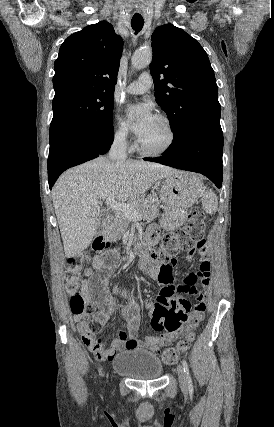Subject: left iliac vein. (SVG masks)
<instances>
[{
	"label": "left iliac vein",
	"mask_w": 274,
	"mask_h": 427,
	"mask_svg": "<svg viewBox=\"0 0 274 427\" xmlns=\"http://www.w3.org/2000/svg\"><path fill=\"white\" fill-rule=\"evenodd\" d=\"M177 374L181 389L184 391L187 390V378L184 369L181 365L177 366Z\"/></svg>",
	"instance_id": "4c4485c4"
}]
</instances>
